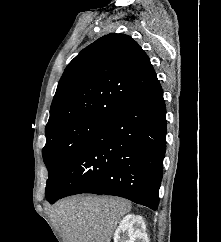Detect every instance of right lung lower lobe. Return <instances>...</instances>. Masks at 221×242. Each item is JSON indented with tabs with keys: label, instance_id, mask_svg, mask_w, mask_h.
I'll return each instance as SVG.
<instances>
[{
	"label": "right lung lower lobe",
	"instance_id": "obj_1",
	"mask_svg": "<svg viewBox=\"0 0 221 242\" xmlns=\"http://www.w3.org/2000/svg\"><path fill=\"white\" fill-rule=\"evenodd\" d=\"M166 107L158 80L103 119L71 158L47 200L80 193L127 198L156 210L166 151Z\"/></svg>",
	"mask_w": 221,
	"mask_h": 242
}]
</instances>
